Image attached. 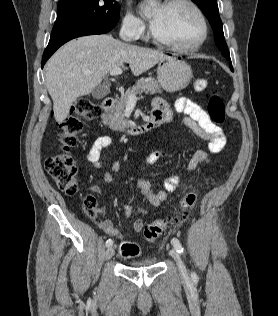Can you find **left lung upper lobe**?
<instances>
[{"mask_svg": "<svg viewBox=\"0 0 278 316\" xmlns=\"http://www.w3.org/2000/svg\"><path fill=\"white\" fill-rule=\"evenodd\" d=\"M199 8L203 11V13L208 18L212 29L215 34V40L218 48L221 50L222 54L230 60V54L227 48V44L225 42L222 21L219 16V10L217 5V0H193ZM231 64V60H230ZM230 69L233 71L232 65H230Z\"/></svg>", "mask_w": 278, "mask_h": 316, "instance_id": "5c2ea615", "label": "left lung upper lobe"}]
</instances>
